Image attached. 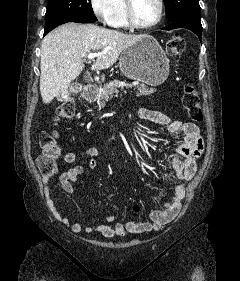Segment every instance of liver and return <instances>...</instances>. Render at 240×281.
<instances>
[{
  "mask_svg": "<svg viewBox=\"0 0 240 281\" xmlns=\"http://www.w3.org/2000/svg\"><path fill=\"white\" fill-rule=\"evenodd\" d=\"M143 37L145 35L125 34L94 24L67 23L51 31L41 45L40 93L43 103L49 104L81 74L83 59L91 51L103 53L91 70L107 69L126 48Z\"/></svg>",
  "mask_w": 240,
  "mask_h": 281,
  "instance_id": "liver-1",
  "label": "liver"
}]
</instances>
